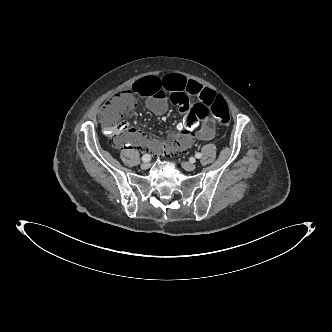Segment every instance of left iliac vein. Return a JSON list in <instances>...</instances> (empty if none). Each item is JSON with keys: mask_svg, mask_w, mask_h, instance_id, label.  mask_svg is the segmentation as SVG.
I'll list each match as a JSON object with an SVG mask.
<instances>
[{"mask_svg": "<svg viewBox=\"0 0 332 332\" xmlns=\"http://www.w3.org/2000/svg\"><path fill=\"white\" fill-rule=\"evenodd\" d=\"M182 167L186 170V171H194L196 169V165L191 163V162H182Z\"/></svg>", "mask_w": 332, "mask_h": 332, "instance_id": "left-iliac-vein-1", "label": "left iliac vein"}]
</instances>
